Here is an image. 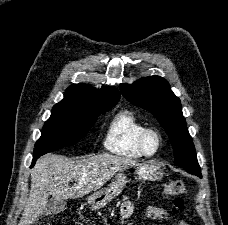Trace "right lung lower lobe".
<instances>
[{
	"instance_id": "98d812e1",
	"label": "right lung lower lobe",
	"mask_w": 228,
	"mask_h": 225,
	"mask_svg": "<svg viewBox=\"0 0 228 225\" xmlns=\"http://www.w3.org/2000/svg\"><path fill=\"white\" fill-rule=\"evenodd\" d=\"M41 155H43V154H34L32 166L35 164L36 160H37Z\"/></svg>"
}]
</instances>
